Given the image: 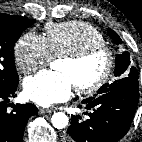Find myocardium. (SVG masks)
Here are the masks:
<instances>
[{
    "instance_id": "f54148a6",
    "label": "myocardium",
    "mask_w": 142,
    "mask_h": 142,
    "mask_svg": "<svg viewBox=\"0 0 142 142\" xmlns=\"http://www.w3.org/2000/svg\"><path fill=\"white\" fill-rule=\"evenodd\" d=\"M101 54L105 57V67L102 74L92 83L87 85H77L75 90L81 94H93L99 91L110 79L115 66V56L113 50L104 45H94L84 48L76 53L66 54L61 56L62 59L70 61L75 64H80L89 58Z\"/></svg>"
}]
</instances>
